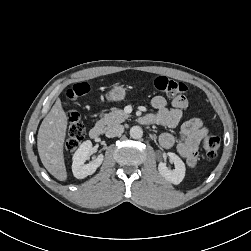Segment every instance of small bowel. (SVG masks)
<instances>
[{"instance_id": "obj_1", "label": "small bowel", "mask_w": 251, "mask_h": 251, "mask_svg": "<svg viewBox=\"0 0 251 251\" xmlns=\"http://www.w3.org/2000/svg\"><path fill=\"white\" fill-rule=\"evenodd\" d=\"M151 105L156 110L155 113L148 114L153 123L174 128L181 121L183 111L188 106V100L183 95L176 96L171 101L172 107L168 108L166 99L158 95L153 97ZM207 133L208 128L203 124L202 120L192 118L181 125L178 138L169 132H165L160 136V144L164 148L176 146L177 152L185 159L188 166L194 167L197 163L199 143Z\"/></svg>"}]
</instances>
